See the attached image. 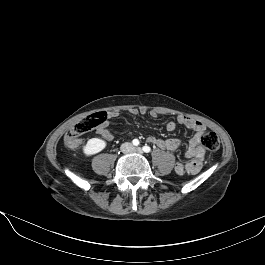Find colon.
Wrapping results in <instances>:
<instances>
[{
	"label": "colon",
	"instance_id": "colon-1",
	"mask_svg": "<svg viewBox=\"0 0 265 265\" xmlns=\"http://www.w3.org/2000/svg\"><path fill=\"white\" fill-rule=\"evenodd\" d=\"M106 117V113L102 111L86 117L66 133L64 137L65 145L68 148H77L81 144V136L101 125ZM201 144L210 152H217L220 148V141L215 132L204 133L201 137Z\"/></svg>",
	"mask_w": 265,
	"mask_h": 265
}]
</instances>
